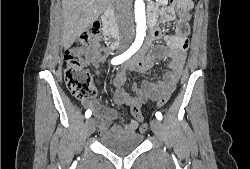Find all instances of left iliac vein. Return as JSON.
I'll return each instance as SVG.
<instances>
[{"label": "left iliac vein", "mask_w": 250, "mask_h": 169, "mask_svg": "<svg viewBox=\"0 0 250 169\" xmlns=\"http://www.w3.org/2000/svg\"><path fill=\"white\" fill-rule=\"evenodd\" d=\"M150 124L152 131L154 132L160 144H162L164 140V128L162 123L158 119H152Z\"/></svg>", "instance_id": "4c4485c4"}]
</instances>
